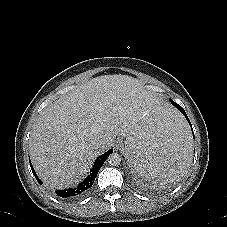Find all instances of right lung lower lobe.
Listing matches in <instances>:
<instances>
[{"label":"right lung lower lobe","mask_w":227,"mask_h":227,"mask_svg":"<svg viewBox=\"0 0 227 227\" xmlns=\"http://www.w3.org/2000/svg\"><path fill=\"white\" fill-rule=\"evenodd\" d=\"M113 152V150L107 151L105 154L101 155L94 163L93 168L90 170V174L75 188H69L66 190H58L56 191L57 195L65 200L76 199L83 196L87 191L92 187L93 182L95 180L96 175L98 174L100 168L104 164L107 157ZM32 172L36 177L37 181L41 184V180L37 177L32 168Z\"/></svg>","instance_id":"1"}]
</instances>
